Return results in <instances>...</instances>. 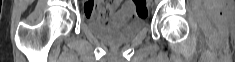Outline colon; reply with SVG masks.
I'll return each mask as SVG.
<instances>
[{
    "instance_id": "obj_1",
    "label": "colon",
    "mask_w": 235,
    "mask_h": 62,
    "mask_svg": "<svg viewBox=\"0 0 235 62\" xmlns=\"http://www.w3.org/2000/svg\"><path fill=\"white\" fill-rule=\"evenodd\" d=\"M136 13L141 16H146L148 13V7L146 0H134ZM87 17L95 19L104 23H108L112 16L111 10L108 8L106 3L95 2L86 9Z\"/></svg>"
}]
</instances>
